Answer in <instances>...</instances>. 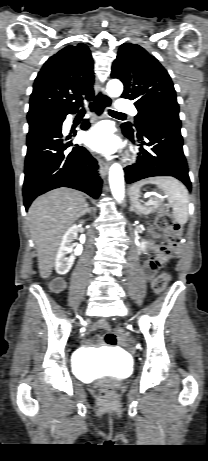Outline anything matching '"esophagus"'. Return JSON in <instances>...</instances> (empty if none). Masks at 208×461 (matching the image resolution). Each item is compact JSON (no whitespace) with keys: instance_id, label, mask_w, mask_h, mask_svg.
Segmentation results:
<instances>
[{"instance_id":"34e87169","label":"esophagus","mask_w":208,"mask_h":461,"mask_svg":"<svg viewBox=\"0 0 208 461\" xmlns=\"http://www.w3.org/2000/svg\"><path fill=\"white\" fill-rule=\"evenodd\" d=\"M100 90H101L102 95L106 96V97L109 99V101L111 102V99H110V97L108 96V94H107L105 88H104V87H101ZM110 102H109V104H108V103H104V102H97L96 99H95V101H94V110H95V112H96V114H97V116H98L99 118H102V117L105 116V114H106V109H107L108 106L110 105ZM108 169H109V163H108V162H105V161L102 160V159H99V171H100V174H101L102 176H105V175L107 174V172H108Z\"/></svg>"}]
</instances>
